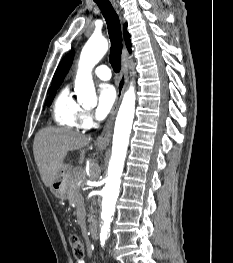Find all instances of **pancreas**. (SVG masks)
Returning <instances> with one entry per match:
<instances>
[{"label":"pancreas","instance_id":"cf45deb5","mask_svg":"<svg viewBox=\"0 0 233 263\" xmlns=\"http://www.w3.org/2000/svg\"><path fill=\"white\" fill-rule=\"evenodd\" d=\"M82 182V175L79 171H75L73 175L69 176L70 190L68 199L71 205L79 206L83 202L82 194L80 193V183Z\"/></svg>","mask_w":233,"mask_h":263}]
</instances>
